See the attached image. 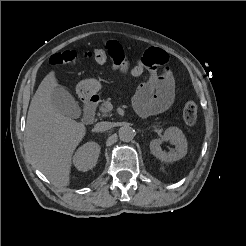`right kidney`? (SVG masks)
I'll return each mask as SVG.
<instances>
[{"label":"right kidney","instance_id":"right-kidney-1","mask_svg":"<svg viewBox=\"0 0 246 246\" xmlns=\"http://www.w3.org/2000/svg\"><path fill=\"white\" fill-rule=\"evenodd\" d=\"M100 146L96 142H87L73 156V164L79 170L86 172L92 169L98 160Z\"/></svg>","mask_w":246,"mask_h":246}]
</instances>
